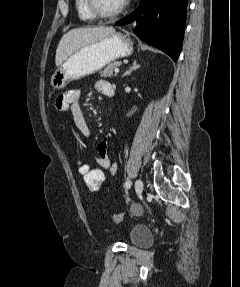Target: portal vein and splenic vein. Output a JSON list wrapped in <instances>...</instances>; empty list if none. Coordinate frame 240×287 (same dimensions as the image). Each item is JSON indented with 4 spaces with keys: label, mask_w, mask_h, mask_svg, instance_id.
I'll list each match as a JSON object with an SVG mask.
<instances>
[{
    "label": "portal vein and splenic vein",
    "mask_w": 240,
    "mask_h": 287,
    "mask_svg": "<svg viewBox=\"0 0 240 287\" xmlns=\"http://www.w3.org/2000/svg\"><path fill=\"white\" fill-rule=\"evenodd\" d=\"M114 71H115V73H118V72H119V69H118V68H115Z\"/></svg>",
    "instance_id": "obj_1"
}]
</instances>
